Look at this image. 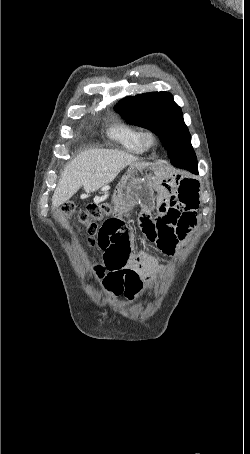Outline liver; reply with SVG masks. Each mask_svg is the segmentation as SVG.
Listing matches in <instances>:
<instances>
[{
  "label": "liver",
  "instance_id": "liver-1",
  "mask_svg": "<svg viewBox=\"0 0 250 454\" xmlns=\"http://www.w3.org/2000/svg\"><path fill=\"white\" fill-rule=\"evenodd\" d=\"M137 164L138 158L119 150L88 149L71 160L62 172L52 196L53 207L67 202L81 187L87 194L111 183L127 166Z\"/></svg>",
  "mask_w": 250,
  "mask_h": 454
}]
</instances>
